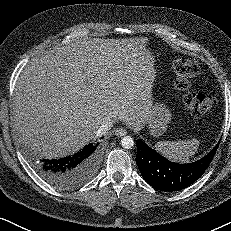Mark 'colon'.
Here are the masks:
<instances>
[{"label":"colon","instance_id":"colon-1","mask_svg":"<svg viewBox=\"0 0 231 231\" xmlns=\"http://www.w3.org/2000/svg\"><path fill=\"white\" fill-rule=\"evenodd\" d=\"M199 71V62L194 58L178 57L173 65L174 85L183 93L184 108L192 115L200 116L214 107L216 97L210 93H191V88Z\"/></svg>","mask_w":231,"mask_h":231}]
</instances>
